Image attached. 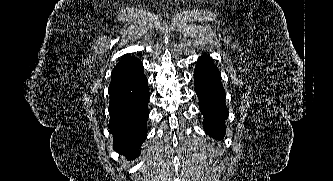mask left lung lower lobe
Here are the masks:
<instances>
[{
  "label": "left lung lower lobe",
  "mask_w": 333,
  "mask_h": 181,
  "mask_svg": "<svg viewBox=\"0 0 333 181\" xmlns=\"http://www.w3.org/2000/svg\"><path fill=\"white\" fill-rule=\"evenodd\" d=\"M195 92L199 98V109L204 116L203 126L208 135L220 140L225 135V90L221 74L208 55L201 56L194 71Z\"/></svg>",
  "instance_id": "1"
}]
</instances>
